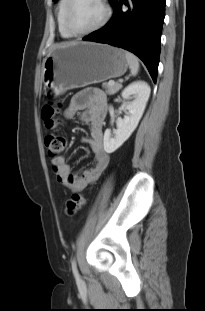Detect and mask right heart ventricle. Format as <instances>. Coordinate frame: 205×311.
Segmentation results:
<instances>
[{"label":"right heart ventricle","mask_w":205,"mask_h":311,"mask_svg":"<svg viewBox=\"0 0 205 311\" xmlns=\"http://www.w3.org/2000/svg\"><path fill=\"white\" fill-rule=\"evenodd\" d=\"M67 4V0H60L57 12H56V20H57V26L60 32V35L63 38H71L72 35L68 32V30L65 27L64 23V14H65V7Z\"/></svg>","instance_id":"e07e8e85"}]
</instances>
